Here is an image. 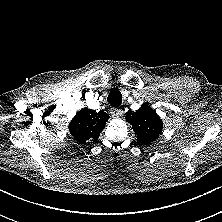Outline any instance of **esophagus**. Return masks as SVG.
<instances>
[{"instance_id": "34e87169", "label": "esophagus", "mask_w": 222, "mask_h": 222, "mask_svg": "<svg viewBox=\"0 0 222 222\" xmlns=\"http://www.w3.org/2000/svg\"><path fill=\"white\" fill-rule=\"evenodd\" d=\"M123 114V111L121 109H112L111 110V115L114 117H120Z\"/></svg>"}]
</instances>
